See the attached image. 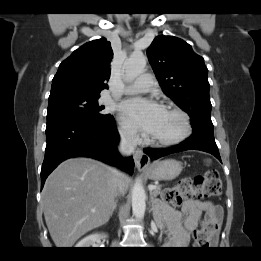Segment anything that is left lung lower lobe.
<instances>
[{
  "mask_svg": "<svg viewBox=\"0 0 261 261\" xmlns=\"http://www.w3.org/2000/svg\"><path fill=\"white\" fill-rule=\"evenodd\" d=\"M186 150H200L210 153L221 162L218 147L214 139L213 128L206 127L193 129V134L179 145L167 149L146 148L143 151L152 160H156L160 157Z\"/></svg>",
  "mask_w": 261,
  "mask_h": 261,
  "instance_id": "left-lung-lower-lobe-1",
  "label": "left lung lower lobe"
}]
</instances>
